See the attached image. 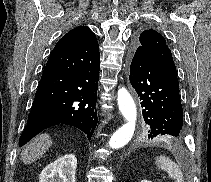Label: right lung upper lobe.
Masks as SVG:
<instances>
[{"label": "right lung upper lobe", "instance_id": "obj_1", "mask_svg": "<svg viewBox=\"0 0 211 182\" xmlns=\"http://www.w3.org/2000/svg\"><path fill=\"white\" fill-rule=\"evenodd\" d=\"M92 31L86 26H79L69 31L61 40L75 41L90 34Z\"/></svg>", "mask_w": 211, "mask_h": 182}]
</instances>
